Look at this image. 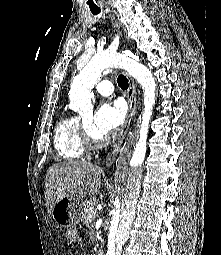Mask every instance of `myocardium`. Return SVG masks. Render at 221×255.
<instances>
[{
	"label": "myocardium",
	"instance_id": "obj_1",
	"mask_svg": "<svg viewBox=\"0 0 221 255\" xmlns=\"http://www.w3.org/2000/svg\"><path fill=\"white\" fill-rule=\"evenodd\" d=\"M82 136L85 145L88 149H99L107 143V138L104 136L95 137L91 134L86 124L82 125Z\"/></svg>",
	"mask_w": 221,
	"mask_h": 255
}]
</instances>
